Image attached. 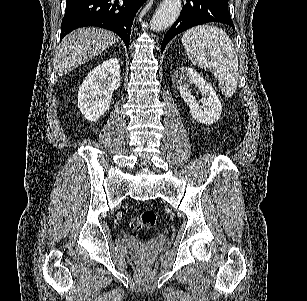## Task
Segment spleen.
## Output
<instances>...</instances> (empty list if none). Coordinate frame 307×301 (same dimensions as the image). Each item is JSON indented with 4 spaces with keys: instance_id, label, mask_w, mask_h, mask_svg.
Instances as JSON below:
<instances>
[{
    "instance_id": "1",
    "label": "spleen",
    "mask_w": 307,
    "mask_h": 301,
    "mask_svg": "<svg viewBox=\"0 0 307 301\" xmlns=\"http://www.w3.org/2000/svg\"><path fill=\"white\" fill-rule=\"evenodd\" d=\"M182 44L190 62L209 68L222 94L231 98L236 92L239 72L237 52L227 32L218 26L198 24L184 32Z\"/></svg>"
}]
</instances>
